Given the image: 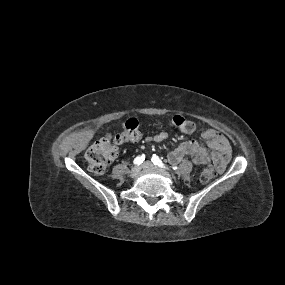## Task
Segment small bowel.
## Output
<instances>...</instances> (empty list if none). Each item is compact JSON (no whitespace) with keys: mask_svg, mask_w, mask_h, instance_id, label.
I'll return each instance as SVG.
<instances>
[{"mask_svg":"<svg viewBox=\"0 0 285 285\" xmlns=\"http://www.w3.org/2000/svg\"><path fill=\"white\" fill-rule=\"evenodd\" d=\"M168 138L165 131L158 132L148 136V142H162ZM203 139L206 141L211 151H208L197 139H189L182 142L177 148L169 152L168 160L172 164H178L189 155L194 164L203 165L213 162L219 173L223 172L231 157V146L227 138L215 130H207L203 133Z\"/></svg>","mask_w":285,"mask_h":285,"instance_id":"small-bowel-1","label":"small bowel"}]
</instances>
